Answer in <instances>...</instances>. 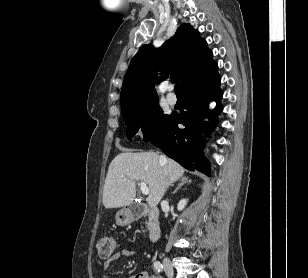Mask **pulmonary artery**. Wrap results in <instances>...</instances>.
I'll return each instance as SVG.
<instances>
[{
	"label": "pulmonary artery",
	"instance_id": "e3ab8cb5",
	"mask_svg": "<svg viewBox=\"0 0 308 278\" xmlns=\"http://www.w3.org/2000/svg\"><path fill=\"white\" fill-rule=\"evenodd\" d=\"M167 101L169 104L174 105L177 102L176 95L172 92L171 88L169 89V92L167 94Z\"/></svg>",
	"mask_w": 308,
	"mask_h": 278
}]
</instances>
